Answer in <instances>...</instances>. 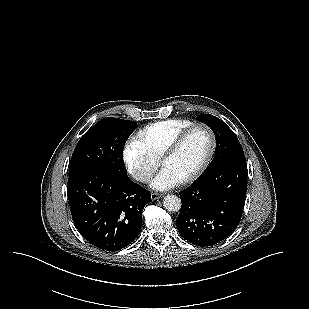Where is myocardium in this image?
Returning <instances> with one entry per match:
<instances>
[{"label":"myocardium","instance_id":"f54148a6","mask_svg":"<svg viewBox=\"0 0 309 309\" xmlns=\"http://www.w3.org/2000/svg\"><path fill=\"white\" fill-rule=\"evenodd\" d=\"M195 128H203L207 131L209 135V139H210V148L202 164L192 174L180 180L181 184H188L198 179L204 173V171L208 168L209 164L211 163L213 155L215 153V149H216V137H215L213 130L205 123L197 122V123L191 124L190 126L183 129L171 141V143L167 146L162 156L160 157V165L163 166L164 162L170 157H172L178 151V149L180 148V146L182 145V143L184 142L188 134Z\"/></svg>","mask_w":309,"mask_h":309}]
</instances>
